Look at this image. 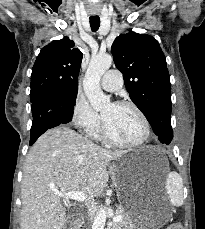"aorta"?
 I'll list each match as a JSON object with an SVG mask.
<instances>
[{
  "mask_svg": "<svg viewBox=\"0 0 205 229\" xmlns=\"http://www.w3.org/2000/svg\"><path fill=\"white\" fill-rule=\"evenodd\" d=\"M112 57L108 54H99L91 58L85 77L83 89L91 106L100 110L110 103L109 96L105 95L100 86L102 75L110 68ZM107 218L106 207H101L94 217L92 229H104Z\"/></svg>",
  "mask_w": 205,
  "mask_h": 229,
  "instance_id": "obj_1",
  "label": "aorta"
}]
</instances>
